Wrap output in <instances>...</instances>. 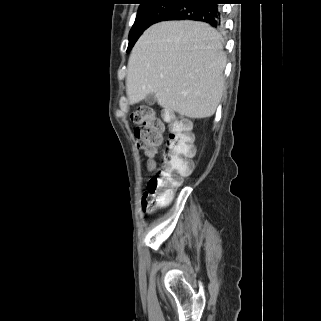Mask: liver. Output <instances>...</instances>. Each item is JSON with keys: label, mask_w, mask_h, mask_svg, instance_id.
<instances>
[{"label": "liver", "mask_w": 321, "mask_h": 321, "mask_svg": "<svg viewBox=\"0 0 321 321\" xmlns=\"http://www.w3.org/2000/svg\"><path fill=\"white\" fill-rule=\"evenodd\" d=\"M226 55L221 36L208 24L165 21L149 27L128 61L126 92L131 104L154 94L166 110L211 117L224 89Z\"/></svg>", "instance_id": "obj_1"}]
</instances>
